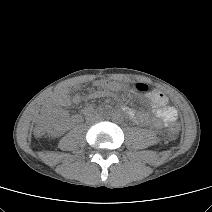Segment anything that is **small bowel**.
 Returning <instances> with one entry per match:
<instances>
[{"label":"small bowel","mask_w":212,"mask_h":212,"mask_svg":"<svg viewBox=\"0 0 212 212\" xmlns=\"http://www.w3.org/2000/svg\"><path fill=\"white\" fill-rule=\"evenodd\" d=\"M99 81L100 80L95 82L96 87ZM108 82H110L113 86V89L110 93L105 94L97 89L90 93L88 98L97 99L103 97H116V93L122 90L137 91L135 88L136 84L129 86L118 81ZM143 93H145L151 101L156 119H150L148 116L137 110L123 106V111L129 116L130 119L141 125L151 124L155 127H164L174 123L177 120L178 114L176 109L168 104V99L162 92L156 89H148ZM80 101L81 96L79 94L70 96L67 91L59 90L56 91L45 103L43 120H49L52 123L54 134H61L68 128H71L80 123V115L70 116L66 110L67 107L76 105L80 103Z\"/></svg>","instance_id":"obj_1"}]
</instances>
